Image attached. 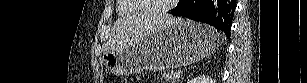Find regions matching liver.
<instances>
[{
	"label": "liver",
	"mask_w": 307,
	"mask_h": 83,
	"mask_svg": "<svg viewBox=\"0 0 307 83\" xmlns=\"http://www.w3.org/2000/svg\"><path fill=\"white\" fill-rule=\"evenodd\" d=\"M179 20L181 19H175L168 15L152 14H136L121 18L112 29L107 51L135 43L159 28Z\"/></svg>",
	"instance_id": "6515ba94"
}]
</instances>
